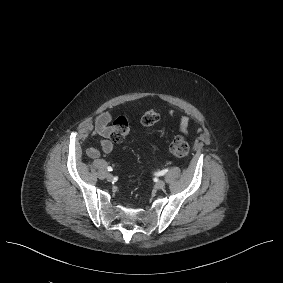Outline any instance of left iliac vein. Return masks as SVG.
<instances>
[{
	"label": "left iliac vein",
	"mask_w": 283,
	"mask_h": 283,
	"mask_svg": "<svg viewBox=\"0 0 283 283\" xmlns=\"http://www.w3.org/2000/svg\"><path fill=\"white\" fill-rule=\"evenodd\" d=\"M165 185H166L165 181L159 180V181L156 182L155 188L158 189V190H161L165 187Z\"/></svg>",
	"instance_id": "obj_1"
}]
</instances>
